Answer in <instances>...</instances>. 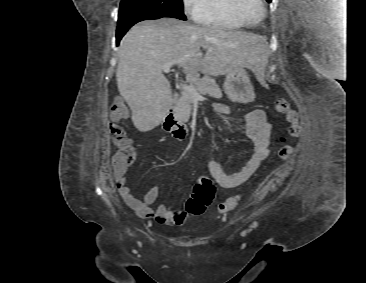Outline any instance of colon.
Wrapping results in <instances>:
<instances>
[{
    "label": "colon",
    "mask_w": 366,
    "mask_h": 283,
    "mask_svg": "<svg viewBox=\"0 0 366 283\" xmlns=\"http://www.w3.org/2000/svg\"><path fill=\"white\" fill-rule=\"evenodd\" d=\"M275 111L283 115L289 124L286 129V134L280 138V146L278 149L279 158L286 160L292 153L289 138H294L299 134L298 114L286 99H278L276 101ZM126 115V106L120 100L113 101L110 108V118L112 121L110 132L112 142L118 148V152L114 156V161L121 167H128L135 157V148L124 128L118 123ZM215 190V185L208 177H200L193 188L192 195L186 202V213L193 216L201 215L212 202ZM237 203V196L229 197L218 206V210L221 213L229 212L236 207Z\"/></svg>",
    "instance_id": "obj_1"
}]
</instances>
